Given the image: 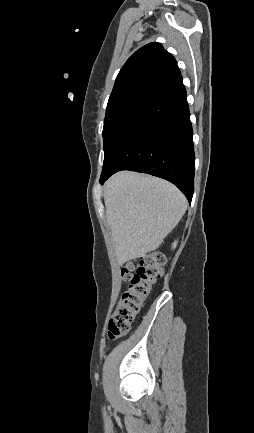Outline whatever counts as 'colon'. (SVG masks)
Listing matches in <instances>:
<instances>
[{
  "instance_id": "colon-1",
  "label": "colon",
  "mask_w": 254,
  "mask_h": 433,
  "mask_svg": "<svg viewBox=\"0 0 254 433\" xmlns=\"http://www.w3.org/2000/svg\"><path fill=\"white\" fill-rule=\"evenodd\" d=\"M164 263L165 257L161 253L151 252L123 267L122 276L129 285L122 292L110 319V340L118 339L130 331L150 295L153 284L161 277Z\"/></svg>"
}]
</instances>
